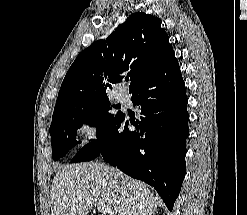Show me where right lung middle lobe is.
<instances>
[{
  "mask_svg": "<svg viewBox=\"0 0 247 215\" xmlns=\"http://www.w3.org/2000/svg\"><path fill=\"white\" fill-rule=\"evenodd\" d=\"M110 109L107 95H101L54 113L49 129L52 158L58 160L65 156L78 143L76 129L84 122L96 127L97 135L102 134L121 115V112L111 113Z\"/></svg>",
  "mask_w": 247,
  "mask_h": 215,
  "instance_id": "dd1d6c3e",
  "label": "right lung middle lobe"
}]
</instances>
